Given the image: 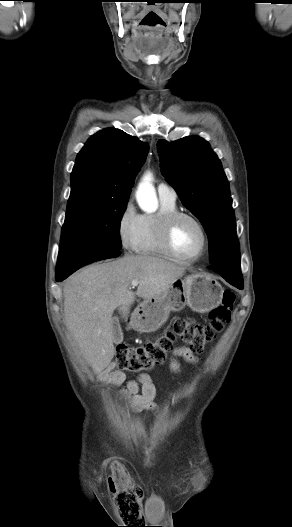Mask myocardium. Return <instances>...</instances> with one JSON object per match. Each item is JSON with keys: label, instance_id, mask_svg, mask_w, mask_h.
Segmentation results:
<instances>
[{"label": "myocardium", "instance_id": "myocardium-1", "mask_svg": "<svg viewBox=\"0 0 292 527\" xmlns=\"http://www.w3.org/2000/svg\"><path fill=\"white\" fill-rule=\"evenodd\" d=\"M182 218H186V219L193 221L198 226L202 234L203 243H202L201 251L199 252L198 255H196L193 258H186V257L181 256L175 250L172 244V231H173L174 225L176 224L178 220ZM158 238H159L161 247L171 258H173L174 260L178 262L186 263V264L196 263L199 260H201L205 256L209 248L208 232L204 224L201 222V220L189 212H184V211H179V210L169 212L161 218L160 223H159V228H158Z\"/></svg>", "mask_w": 292, "mask_h": 527}]
</instances>
